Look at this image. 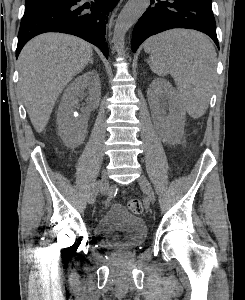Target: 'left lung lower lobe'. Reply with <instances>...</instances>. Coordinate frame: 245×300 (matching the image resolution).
I'll return each instance as SVG.
<instances>
[{"label": "left lung lower lobe", "instance_id": "1", "mask_svg": "<svg viewBox=\"0 0 245 300\" xmlns=\"http://www.w3.org/2000/svg\"><path fill=\"white\" fill-rule=\"evenodd\" d=\"M173 28H187L207 34L219 48L211 0H151L147 11L136 23L132 51L148 37Z\"/></svg>", "mask_w": 245, "mask_h": 300}]
</instances>
